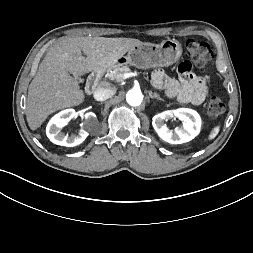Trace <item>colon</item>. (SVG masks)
I'll return each instance as SVG.
<instances>
[{"instance_id":"obj_1","label":"colon","mask_w":253,"mask_h":253,"mask_svg":"<svg viewBox=\"0 0 253 253\" xmlns=\"http://www.w3.org/2000/svg\"><path fill=\"white\" fill-rule=\"evenodd\" d=\"M186 51L189 60L199 68H207L213 64V52L204 41L188 40L186 42ZM207 110L211 116L217 117L225 111V104L220 98L212 97L208 102Z\"/></svg>"}]
</instances>
